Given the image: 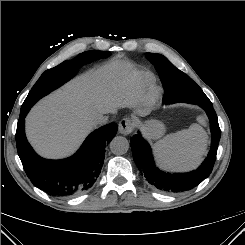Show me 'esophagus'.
<instances>
[{
  "instance_id": "esophagus-1",
  "label": "esophagus",
  "mask_w": 245,
  "mask_h": 245,
  "mask_svg": "<svg viewBox=\"0 0 245 245\" xmlns=\"http://www.w3.org/2000/svg\"><path fill=\"white\" fill-rule=\"evenodd\" d=\"M134 129V124L133 122L128 119V118H124L119 122V126H118V131L120 134L122 135H129Z\"/></svg>"
}]
</instances>
